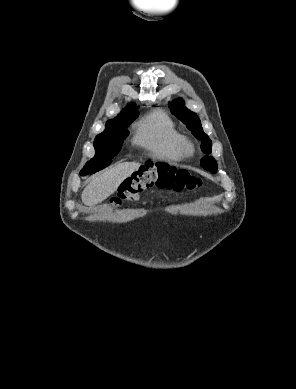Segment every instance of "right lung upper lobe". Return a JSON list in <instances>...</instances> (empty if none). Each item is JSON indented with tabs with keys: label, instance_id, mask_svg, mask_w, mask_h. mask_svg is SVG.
Wrapping results in <instances>:
<instances>
[{
	"label": "right lung upper lobe",
	"instance_id": "right-lung-upper-lobe-1",
	"mask_svg": "<svg viewBox=\"0 0 296 389\" xmlns=\"http://www.w3.org/2000/svg\"><path fill=\"white\" fill-rule=\"evenodd\" d=\"M134 110H137L136 105H135L134 103L129 104V105L121 112V114H119L117 117H119V116H121V115H123V114H125V113L132 112V111H134ZM114 119H115V118H114Z\"/></svg>",
	"mask_w": 296,
	"mask_h": 389
}]
</instances>
